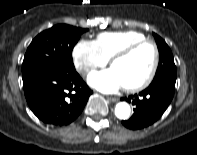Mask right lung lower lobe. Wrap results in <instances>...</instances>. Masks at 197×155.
<instances>
[{
    "label": "right lung lower lobe",
    "mask_w": 197,
    "mask_h": 155,
    "mask_svg": "<svg viewBox=\"0 0 197 155\" xmlns=\"http://www.w3.org/2000/svg\"><path fill=\"white\" fill-rule=\"evenodd\" d=\"M23 88L32 112L54 126L72 123L93 93L75 68L45 72Z\"/></svg>",
    "instance_id": "right-lung-lower-lobe-1"
}]
</instances>
